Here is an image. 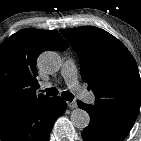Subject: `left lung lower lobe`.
Wrapping results in <instances>:
<instances>
[{
    "mask_svg": "<svg viewBox=\"0 0 141 141\" xmlns=\"http://www.w3.org/2000/svg\"><path fill=\"white\" fill-rule=\"evenodd\" d=\"M90 115V124L82 132L85 141H122L130 131L137 112H118L100 105L78 101Z\"/></svg>",
    "mask_w": 141,
    "mask_h": 141,
    "instance_id": "1",
    "label": "left lung lower lobe"
}]
</instances>
